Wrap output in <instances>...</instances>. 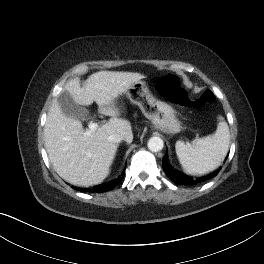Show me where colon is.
<instances>
[{
  "mask_svg": "<svg viewBox=\"0 0 264 264\" xmlns=\"http://www.w3.org/2000/svg\"><path fill=\"white\" fill-rule=\"evenodd\" d=\"M157 88L164 98L185 107L209 104L215 99L213 92L210 90L202 92L197 97H191L181 85L179 77L174 74H166L160 77Z\"/></svg>",
  "mask_w": 264,
  "mask_h": 264,
  "instance_id": "1",
  "label": "colon"
}]
</instances>
